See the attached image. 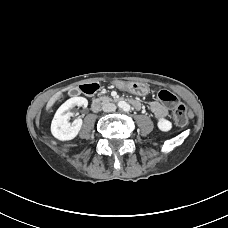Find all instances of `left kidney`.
Returning <instances> with one entry per match:
<instances>
[{
  "instance_id": "left-kidney-1",
  "label": "left kidney",
  "mask_w": 228,
  "mask_h": 228,
  "mask_svg": "<svg viewBox=\"0 0 228 228\" xmlns=\"http://www.w3.org/2000/svg\"><path fill=\"white\" fill-rule=\"evenodd\" d=\"M157 126L161 131L167 132V131L171 130L172 123L167 119L161 118V119H159Z\"/></svg>"
}]
</instances>
